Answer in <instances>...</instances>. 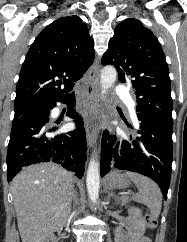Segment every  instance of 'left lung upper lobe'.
Returning a JSON list of instances; mask_svg holds the SVG:
<instances>
[{
	"instance_id": "5c2ea615",
	"label": "left lung upper lobe",
	"mask_w": 187,
	"mask_h": 242,
	"mask_svg": "<svg viewBox=\"0 0 187 242\" xmlns=\"http://www.w3.org/2000/svg\"><path fill=\"white\" fill-rule=\"evenodd\" d=\"M102 64L114 65L120 82L131 81L138 113L173 120L165 55L158 39L139 20L128 18L116 27Z\"/></svg>"
}]
</instances>
